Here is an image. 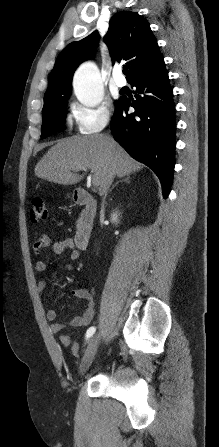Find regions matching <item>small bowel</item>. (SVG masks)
I'll return each instance as SVG.
<instances>
[{"mask_svg":"<svg viewBox=\"0 0 219 447\" xmlns=\"http://www.w3.org/2000/svg\"><path fill=\"white\" fill-rule=\"evenodd\" d=\"M52 247L55 253H63L64 251H69V258L71 261H77L80 257V252L75 246V242L72 238L66 237L59 239L55 242H52L50 236L46 234H42L36 240L34 244V249L36 251H40L41 249ZM47 264L44 260H38L35 264V269L38 272H44L46 270ZM73 266L71 263L67 264L66 270L71 271ZM47 287V282L45 280H40L38 282V290L40 292L45 291ZM71 295L75 298L83 299L86 302L84 312L82 315L77 316L66 323H62L57 321V312L53 308H49L46 310V318L50 322V329L54 333L60 332L65 327H85L87 326L94 315L95 310V301L86 287H77L71 290ZM61 343L65 347H71V351L74 355H78L79 353V345L76 343H72L70 336L61 335L60 336Z\"/></svg>","mask_w":219,"mask_h":447,"instance_id":"1","label":"small bowel"}]
</instances>
